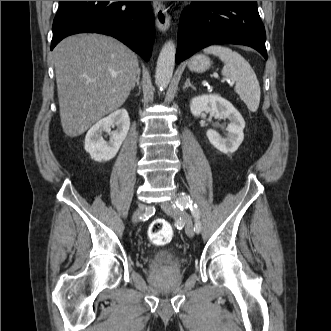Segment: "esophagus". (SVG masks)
<instances>
[{"instance_id":"esophagus-1","label":"esophagus","mask_w":331,"mask_h":331,"mask_svg":"<svg viewBox=\"0 0 331 331\" xmlns=\"http://www.w3.org/2000/svg\"><path fill=\"white\" fill-rule=\"evenodd\" d=\"M156 25L160 31L165 32L170 26V15L167 8L160 1H153Z\"/></svg>"}]
</instances>
